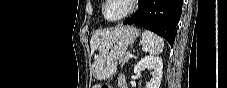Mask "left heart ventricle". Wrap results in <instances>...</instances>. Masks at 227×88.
Returning a JSON list of instances; mask_svg holds the SVG:
<instances>
[{
	"mask_svg": "<svg viewBox=\"0 0 227 88\" xmlns=\"http://www.w3.org/2000/svg\"><path fill=\"white\" fill-rule=\"evenodd\" d=\"M124 11V6L121 3H114L108 6L105 10L108 17H116Z\"/></svg>",
	"mask_w": 227,
	"mask_h": 88,
	"instance_id": "left-heart-ventricle-1",
	"label": "left heart ventricle"
}]
</instances>
